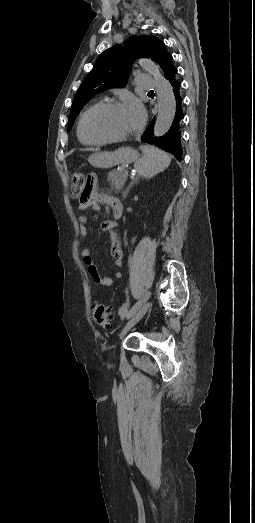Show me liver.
<instances>
[{"label":"liver","instance_id":"liver-1","mask_svg":"<svg viewBox=\"0 0 255 523\" xmlns=\"http://www.w3.org/2000/svg\"><path fill=\"white\" fill-rule=\"evenodd\" d=\"M114 152H99V154H92V156H90V158H88L90 164H92V166H95V168H99L100 164H102V162H105V160H111L112 156H113Z\"/></svg>","mask_w":255,"mask_h":523}]
</instances>
